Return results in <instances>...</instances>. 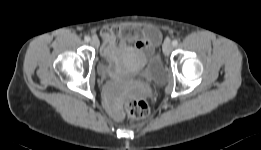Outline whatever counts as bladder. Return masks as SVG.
I'll use <instances>...</instances> for the list:
<instances>
[{
	"mask_svg": "<svg viewBox=\"0 0 261 150\" xmlns=\"http://www.w3.org/2000/svg\"><path fill=\"white\" fill-rule=\"evenodd\" d=\"M134 54L135 51L125 44L103 49L98 63V72L103 76L140 73L155 82H162L165 79L164 64L158 52L151 53L140 69L133 63Z\"/></svg>",
	"mask_w": 261,
	"mask_h": 150,
	"instance_id": "31cf9c89",
	"label": "bladder"
}]
</instances>
